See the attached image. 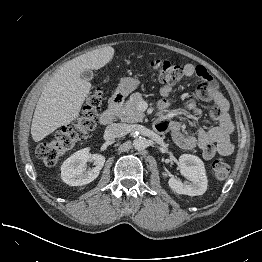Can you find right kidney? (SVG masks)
<instances>
[{
    "label": "right kidney",
    "instance_id": "obj_1",
    "mask_svg": "<svg viewBox=\"0 0 262 262\" xmlns=\"http://www.w3.org/2000/svg\"><path fill=\"white\" fill-rule=\"evenodd\" d=\"M93 160L95 167L85 169L87 161ZM105 163V157L101 154H91L89 149L75 152L64 161L61 166V179L71 186H82L96 179Z\"/></svg>",
    "mask_w": 262,
    "mask_h": 262
}]
</instances>
